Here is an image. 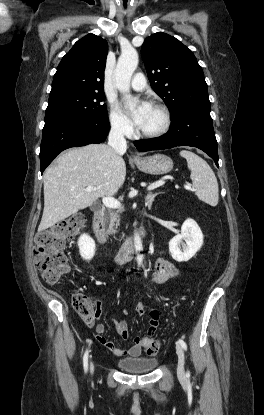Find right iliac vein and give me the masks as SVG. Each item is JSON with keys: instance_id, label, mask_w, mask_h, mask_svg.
Returning <instances> with one entry per match:
<instances>
[{"instance_id": "63e3f726", "label": "right iliac vein", "mask_w": 264, "mask_h": 415, "mask_svg": "<svg viewBox=\"0 0 264 415\" xmlns=\"http://www.w3.org/2000/svg\"><path fill=\"white\" fill-rule=\"evenodd\" d=\"M93 368H94V367H93V365H91V370H92V371H93Z\"/></svg>"}]
</instances>
